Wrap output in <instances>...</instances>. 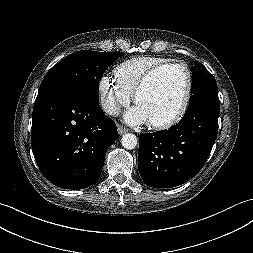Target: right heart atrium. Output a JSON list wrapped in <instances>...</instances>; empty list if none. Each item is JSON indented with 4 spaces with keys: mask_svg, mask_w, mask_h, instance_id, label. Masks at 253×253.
<instances>
[{
    "mask_svg": "<svg viewBox=\"0 0 253 253\" xmlns=\"http://www.w3.org/2000/svg\"><path fill=\"white\" fill-rule=\"evenodd\" d=\"M99 95L102 108L112 116L117 115L120 108L131 101V94L109 76L100 79Z\"/></svg>",
    "mask_w": 253,
    "mask_h": 253,
    "instance_id": "right-heart-atrium-1",
    "label": "right heart atrium"
}]
</instances>
